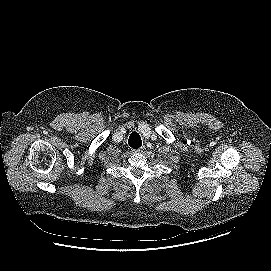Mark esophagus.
Listing matches in <instances>:
<instances>
[{
	"instance_id": "1",
	"label": "esophagus",
	"mask_w": 271,
	"mask_h": 271,
	"mask_svg": "<svg viewBox=\"0 0 271 271\" xmlns=\"http://www.w3.org/2000/svg\"><path fill=\"white\" fill-rule=\"evenodd\" d=\"M141 151H142L141 148H140V149H137V150H132L133 153H135V152H141Z\"/></svg>"
}]
</instances>
